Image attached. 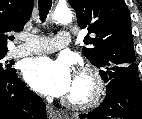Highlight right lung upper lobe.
<instances>
[{
    "mask_svg": "<svg viewBox=\"0 0 142 119\" xmlns=\"http://www.w3.org/2000/svg\"><path fill=\"white\" fill-rule=\"evenodd\" d=\"M33 0H0V52L8 51V33L21 31L31 16Z\"/></svg>",
    "mask_w": 142,
    "mask_h": 119,
    "instance_id": "cb5924a9",
    "label": "right lung upper lobe"
}]
</instances>
